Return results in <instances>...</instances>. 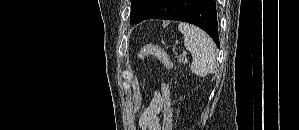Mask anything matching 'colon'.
<instances>
[{
  "mask_svg": "<svg viewBox=\"0 0 299 130\" xmlns=\"http://www.w3.org/2000/svg\"><path fill=\"white\" fill-rule=\"evenodd\" d=\"M149 56L155 57L160 61L166 69L172 67V61L168 54L156 44H146L138 52V59L141 61L146 60ZM164 98V113H163V127L162 130H172V102H171V90L168 85H164L162 88Z\"/></svg>",
  "mask_w": 299,
  "mask_h": 130,
  "instance_id": "colon-1",
  "label": "colon"
}]
</instances>
